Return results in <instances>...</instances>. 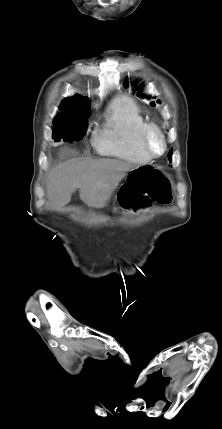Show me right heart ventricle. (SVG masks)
<instances>
[{"mask_svg": "<svg viewBox=\"0 0 222 429\" xmlns=\"http://www.w3.org/2000/svg\"><path fill=\"white\" fill-rule=\"evenodd\" d=\"M146 124L137 103L128 96H120L112 102L106 128L94 137V144L102 154L137 164L148 163L151 158L141 147Z\"/></svg>", "mask_w": 222, "mask_h": 429, "instance_id": "1", "label": "right heart ventricle"}]
</instances>
